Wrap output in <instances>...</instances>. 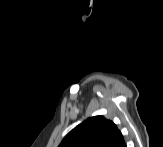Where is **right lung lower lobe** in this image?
<instances>
[{
    "label": "right lung lower lobe",
    "mask_w": 163,
    "mask_h": 147,
    "mask_svg": "<svg viewBox=\"0 0 163 147\" xmlns=\"http://www.w3.org/2000/svg\"><path fill=\"white\" fill-rule=\"evenodd\" d=\"M115 147H126L124 139L115 145Z\"/></svg>",
    "instance_id": "98d812e1"
}]
</instances>
